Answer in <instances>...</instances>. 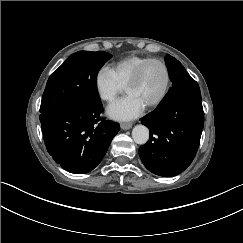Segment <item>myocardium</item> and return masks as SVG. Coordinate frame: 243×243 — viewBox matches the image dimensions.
I'll return each mask as SVG.
<instances>
[{
	"mask_svg": "<svg viewBox=\"0 0 243 243\" xmlns=\"http://www.w3.org/2000/svg\"><path fill=\"white\" fill-rule=\"evenodd\" d=\"M152 62L159 63L160 65L163 66V68L165 69L166 75H167V84H166V87H165L163 93L161 94V96L157 100L147 104L146 105L147 108H155V107H158L159 105H161L165 101V99L167 98V96L169 95V93L171 91L173 77H172L171 69L168 66V64L160 58H156V57L149 58L139 65V67L132 74V76L129 78V80L127 81V83L125 85V90H127L128 87L135 84L139 80L145 67Z\"/></svg>",
	"mask_w": 243,
	"mask_h": 243,
	"instance_id": "f54148a6",
	"label": "myocardium"
}]
</instances>
